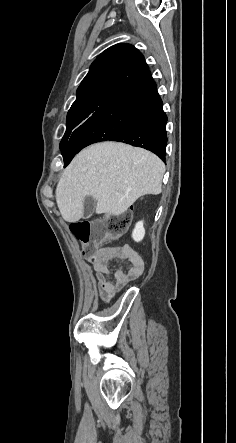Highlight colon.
I'll use <instances>...</instances> for the list:
<instances>
[{
    "label": "colon",
    "instance_id": "5ec220e1",
    "mask_svg": "<svg viewBox=\"0 0 236 443\" xmlns=\"http://www.w3.org/2000/svg\"><path fill=\"white\" fill-rule=\"evenodd\" d=\"M130 215H118L90 222L79 220L71 224L74 237L83 244L84 254L89 259L98 256L102 245L120 239L129 228Z\"/></svg>",
    "mask_w": 236,
    "mask_h": 443
}]
</instances>
